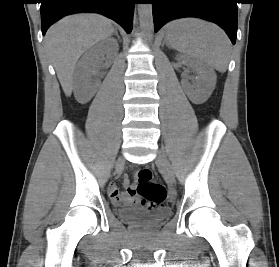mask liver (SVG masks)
Wrapping results in <instances>:
<instances>
[{
    "label": "liver",
    "instance_id": "1",
    "mask_svg": "<svg viewBox=\"0 0 279 267\" xmlns=\"http://www.w3.org/2000/svg\"><path fill=\"white\" fill-rule=\"evenodd\" d=\"M113 32L110 19L84 13L67 16L48 29L45 46L66 96L72 93L73 74L79 57Z\"/></svg>",
    "mask_w": 279,
    "mask_h": 267
}]
</instances>
